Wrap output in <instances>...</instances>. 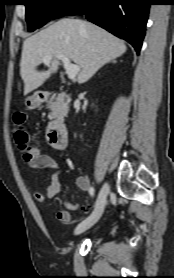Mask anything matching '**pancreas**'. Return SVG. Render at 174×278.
Here are the masks:
<instances>
[{
  "mask_svg": "<svg viewBox=\"0 0 174 278\" xmlns=\"http://www.w3.org/2000/svg\"><path fill=\"white\" fill-rule=\"evenodd\" d=\"M55 100V101H54ZM51 118H63L69 109V99L64 93L59 94L56 98L53 96L50 101Z\"/></svg>",
  "mask_w": 174,
  "mask_h": 278,
  "instance_id": "1",
  "label": "pancreas"
}]
</instances>
